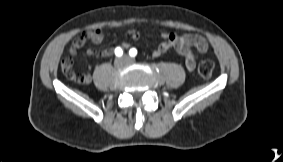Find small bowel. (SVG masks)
Masks as SVG:
<instances>
[{
    "mask_svg": "<svg viewBox=\"0 0 283 162\" xmlns=\"http://www.w3.org/2000/svg\"><path fill=\"white\" fill-rule=\"evenodd\" d=\"M163 42L153 50L152 55L158 57L170 50H175L180 56L184 58L185 67L187 70L192 71L196 67L197 54L193 49H196L199 53L207 52L208 45L205 38L198 34H183L178 35L171 32H162L161 34ZM128 40L124 43V47H129L131 41H137L139 34L136 31L128 32ZM104 39V35L101 30L95 29L83 32L78 36L70 47V58H66L61 63L62 71L65 75H74L72 72V58L75 57L83 48L87 41L93 44H100ZM112 53L111 49H105L102 51L88 50L86 54L92 57H109ZM89 74V73H88Z\"/></svg>",
    "mask_w": 283,
    "mask_h": 162,
    "instance_id": "c3829d8e",
    "label": "small bowel"
}]
</instances>
